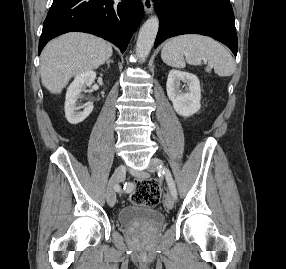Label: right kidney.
<instances>
[{
    "label": "right kidney",
    "instance_id": "1",
    "mask_svg": "<svg viewBox=\"0 0 286 269\" xmlns=\"http://www.w3.org/2000/svg\"><path fill=\"white\" fill-rule=\"evenodd\" d=\"M95 78V71H85L78 74L68 87L65 100V116L69 123L76 125L84 121L93 111V102H88L83 106L82 112H77L79 107L76 102L81 98V92L86 87L91 86Z\"/></svg>",
    "mask_w": 286,
    "mask_h": 269
}]
</instances>
